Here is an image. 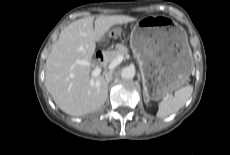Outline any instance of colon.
I'll use <instances>...</instances> for the list:
<instances>
[{
  "instance_id": "obj_1",
  "label": "colon",
  "mask_w": 230,
  "mask_h": 155,
  "mask_svg": "<svg viewBox=\"0 0 230 155\" xmlns=\"http://www.w3.org/2000/svg\"><path fill=\"white\" fill-rule=\"evenodd\" d=\"M125 33V28L121 24H116L113 29L109 31V34L102 33L99 35V44L102 46H107L110 42H117L120 40L121 36Z\"/></svg>"
}]
</instances>
